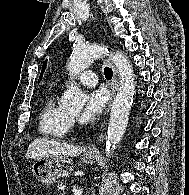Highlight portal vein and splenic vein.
<instances>
[{"instance_id":"obj_1","label":"portal vein and splenic vein","mask_w":189,"mask_h":195,"mask_svg":"<svg viewBox=\"0 0 189 195\" xmlns=\"http://www.w3.org/2000/svg\"><path fill=\"white\" fill-rule=\"evenodd\" d=\"M81 194H82V189L73 192V195H81Z\"/></svg>"}]
</instances>
